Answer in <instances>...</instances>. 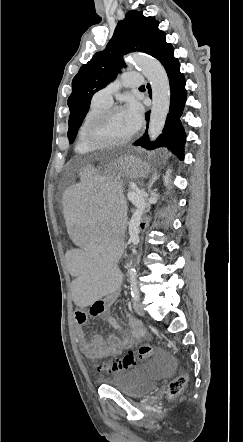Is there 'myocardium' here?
Here are the masks:
<instances>
[{
  "label": "myocardium",
  "instance_id": "obj_1",
  "mask_svg": "<svg viewBox=\"0 0 243 442\" xmlns=\"http://www.w3.org/2000/svg\"><path fill=\"white\" fill-rule=\"evenodd\" d=\"M123 110L121 106L118 105H110L106 109L102 110L94 117H92L86 125L85 128V137L88 143H90L95 148H113L118 146H123L129 143L136 135V132L132 133L130 136L125 139L117 140V141H102L96 135V130L103 123H105L110 116L117 112Z\"/></svg>",
  "mask_w": 243,
  "mask_h": 442
}]
</instances>
